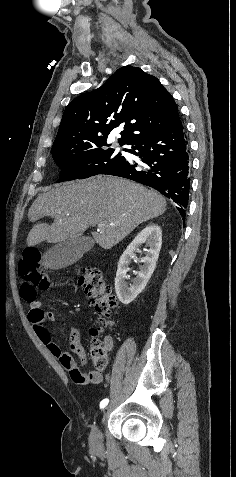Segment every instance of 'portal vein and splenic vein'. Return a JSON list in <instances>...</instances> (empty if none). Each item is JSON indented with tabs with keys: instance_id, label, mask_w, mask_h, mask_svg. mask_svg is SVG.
<instances>
[{
	"instance_id": "18ae733b",
	"label": "portal vein and splenic vein",
	"mask_w": 236,
	"mask_h": 477,
	"mask_svg": "<svg viewBox=\"0 0 236 477\" xmlns=\"http://www.w3.org/2000/svg\"><path fill=\"white\" fill-rule=\"evenodd\" d=\"M103 227V224H98V230Z\"/></svg>"
}]
</instances>
